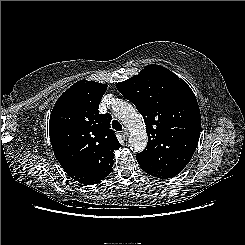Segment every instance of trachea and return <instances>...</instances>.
Wrapping results in <instances>:
<instances>
[{"instance_id":"obj_1","label":"trachea","mask_w":245,"mask_h":245,"mask_svg":"<svg viewBox=\"0 0 245 245\" xmlns=\"http://www.w3.org/2000/svg\"><path fill=\"white\" fill-rule=\"evenodd\" d=\"M112 127L116 131H122V125L120 124V122L118 120H113L112 121Z\"/></svg>"}]
</instances>
